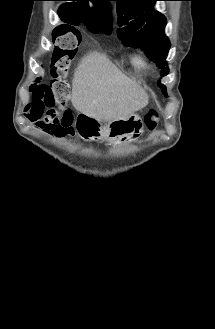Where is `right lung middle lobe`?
<instances>
[{
	"mask_svg": "<svg viewBox=\"0 0 215 329\" xmlns=\"http://www.w3.org/2000/svg\"><path fill=\"white\" fill-rule=\"evenodd\" d=\"M66 23H68V24H72V25H78L79 23H84V21H83V19L82 18H80V17H75V18H73L71 21H69V22H66ZM87 27H88V29L90 30V31H92V32H96V33H99V32H102V31H100L99 29H97V28H95V27H93L91 24H86V23H84ZM67 30H72V28H67L65 31H67ZM64 31V32H65ZM73 31V30H72ZM105 34H110V33H105ZM57 36V35H56ZM55 36V37H56Z\"/></svg>",
	"mask_w": 215,
	"mask_h": 329,
	"instance_id": "right-lung-middle-lobe-1",
	"label": "right lung middle lobe"
}]
</instances>
